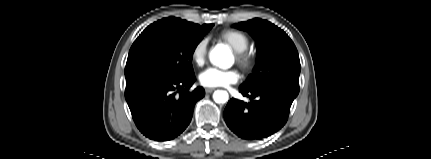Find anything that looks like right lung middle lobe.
Segmentation results:
<instances>
[{
	"instance_id": "dd1d6c3e",
	"label": "right lung middle lobe",
	"mask_w": 431,
	"mask_h": 159,
	"mask_svg": "<svg viewBox=\"0 0 431 159\" xmlns=\"http://www.w3.org/2000/svg\"><path fill=\"white\" fill-rule=\"evenodd\" d=\"M213 25L194 30L165 19L149 25L130 48L126 81L149 72L178 78L194 76L191 63L194 50Z\"/></svg>"
}]
</instances>
